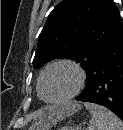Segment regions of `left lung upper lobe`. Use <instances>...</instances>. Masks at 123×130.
<instances>
[{"mask_svg": "<svg viewBox=\"0 0 123 130\" xmlns=\"http://www.w3.org/2000/svg\"><path fill=\"white\" fill-rule=\"evenodd\" d=\"M122 27L113 0H62L38 37L33 66L70 58L80 62L88 74L96 57Z\"/></svg>", "mask_w": 123, "mask_h": 130, "instance_id": "5c2ea615", "label": "left lung upper lobe"}]
</instances>
